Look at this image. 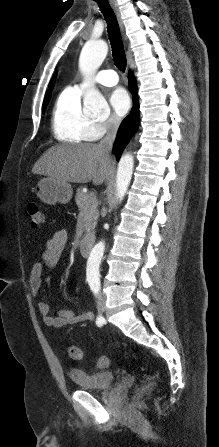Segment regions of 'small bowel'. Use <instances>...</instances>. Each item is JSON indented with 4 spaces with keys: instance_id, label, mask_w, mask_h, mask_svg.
Instances as JSON below:
<instances>
[{
    "instance_id": "small-bowel-1",
    "label": "small bowel",
    "mask_w": 219,
    "mask_h": 447,
    "mask_svg": "<svg viewBox=\"0 0 219 447\" xmlns=\"http://www.w3.org/2000/svg\"><path fill=\"white\" fill-rule=\"evenodd\" d=\"M66 242L65 230L55 232L47 241L45 250L40 254L39 259L32 265L28 282L34 296L39 294L42 284L49 281V277L45 274V268H53L60 262ZM38 308L44 323L50 328H61L94 319L93 313L89 311L75 313L68 309H59L53 314L51 306L45 302H40Z\"/></svg>"
}]
</instances>
